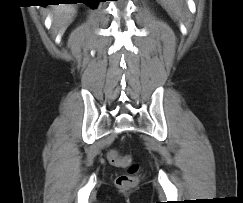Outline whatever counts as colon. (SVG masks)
<instances>
[{
  "instance_id": "obj_1",
  "label": "colon",
  "mask_w": 243,
  "mask_h": 203,
  "mask_svg": "<svg viewBox=\"0 0 243 203\" xmlns=\"http://www.w3.org/2000/svg\"><path fill=\"white\" fill-rule=\"evenodd\" d=\"M108 157L113 164L119 165L120 167H127V172L116 178V185L121 189L134 187L139 180V166L132 164L128 156L120 155L116 150H111L108 153Z\"/></svg>"
}]
</instances>
